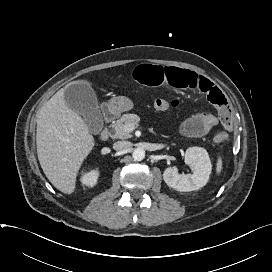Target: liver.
<instances>
[{
  "label": "liver",
  "instance_id": "1",
  "mask_svg": "<svg viewBox=\"0 0 272 272\" xmlns=\"http://www.w3.org/2000/svg\"><path fill=\"white\" fill-rule=\"evenodd\" d=\"M64 91L60 89L40 109L36 142L38 159L48 180L59 191L71 194L95 140L82 117L66 104Z\"/></svg>",
  "mask_w": 272,
  "mask_h": 272
}]
</instances>
